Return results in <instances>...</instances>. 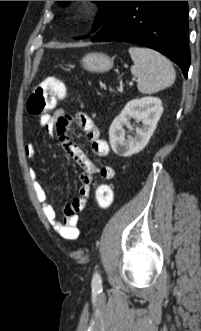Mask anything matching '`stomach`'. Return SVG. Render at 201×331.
I'll return each mask as SVG.
<instances>
[{
	"instance_id": "0dacf381",
	"label": "stomach",
	"mask_w": 201,
	"mask_h": 331,
	"mask_svg": "<svg viewBox=\"0 0 201 331\" xmlns=\"http://www.w3.org/2000/svg\"><path fill=\"white\" fill-rule=\"evenodd\" d=\"M82 66L90 72H107L113 67V60L103 53H89L83 57Z\"/></svg>"
}]
</instances>
